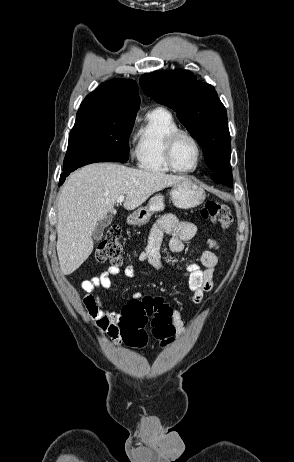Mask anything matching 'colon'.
<instances>
[{
  "label": "colon",
  "mask_w": 294,
  "mask_h": 462,
  "mask_svg": "<svg viewBox=\"0 0 294 462\" xmlns=\"http://www.w3.org/2000/svg\"><path fill=\"white\" fill-rule=\"evenodd\" d=\"M201 216L218 225L227 228L232 223L228 207L218 201H209L201 210ZM121 230L111 226L96 250L99 262H110L117 266L122 262ZM173 309L160 297L145 296L141 299H131L122 309L119 327L124 342L129 346L142 347L147 343L148 336L144 328L150 321L153 335L163 343L173 340L175 328L172 322Z\"/></svg>",
  "instance_id": "5ec220e1"
}]
</instances>
